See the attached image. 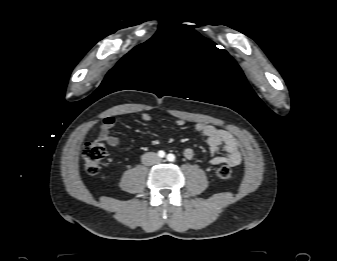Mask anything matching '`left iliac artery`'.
I'll use <instances>...</instances> for the list:
<instances>
[{
  "label": "left iliac artery",
  "instance_id": "obj_1",
  "mask_svg": "<svg viewBox=\"0 0 337 261\" xmlns=\"http://www.w3.org/2000/svg\"><path fill=\"white\" fill-rule=\"evenodd\" d=\"M167 160L171 161V162L175 161V155L174 154H168L167 155Z\"/></svg>",
  "mask_w": 337,
  "mask_h": 261
}]
</instances>
